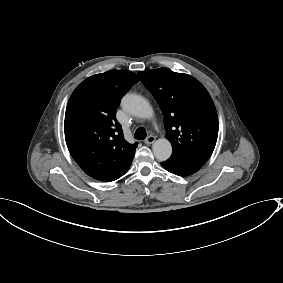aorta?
I'll use <instances>...</instances> for the list:
<instances>
[{
    "label": "aorta",
    "instance_id": "762f6f07",
    "mask_svg": "<svg viewBox=\"0 0 283 283\" xmlns=\"http://www.w3.org/2000/svg\"><path fill=\"white\" fill-rule=\"evenodd\" d=\"M123 109L140 117L149 119L153 116V109L146 99L136 94H126L121 101ZM153 153L157 160L165 161L172 154V146L169 140L161 138L153 144Z\"/></svg>",
    "mask_w": 283,
    "mask_h": 283
}]
</instances>
